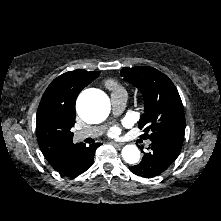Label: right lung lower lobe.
Here are the masks:
<instances>
[{"label": "right lung lower lobe", "mask_w": 221, "mask_h": 221, "mask_svg": "<svg viewBox=\"0 0 221 221\" xmlns=\"http://www.w3.org/2000/svg\"><path fill=\"white\" fill-rule=\"evenodd\" d=\"M100 145V143H95L86 147L85 144H81L71 148L64 152L63 159L53 165V168L62 175L75 177L91 167L95 150Z\"/></svg>", "instance_id": "1"}]
</instances>
